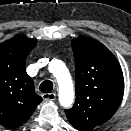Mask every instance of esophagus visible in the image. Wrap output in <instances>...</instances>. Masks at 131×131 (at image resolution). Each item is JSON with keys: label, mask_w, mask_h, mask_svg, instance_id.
<instances>
[{"label": "esophagus", "mask_w": 131, "mask_h": 131, "mask_svg": "<svg viewBox=\"0 0 131 131\" xmlns=\"http://www.w3.org/2000/svg\"><path fill=\"white\" fill-rule=\"evenodd\" d=\"M44 101H54L56 99L55 93H44L42 95Z\"/></svg>", "instance_id": "obj_1"}]
</instances>
